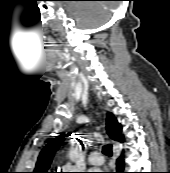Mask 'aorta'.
Segmentation results:
<instances>
[{
	"instance_id": "1",
	"label": "aorta",
	"mask_w": 170,
	"mask_h": 173,
	"mask_svg": "<svg viewBox=\"0 0 170 173\" xmlns=\"http://www.w3.org/2000/svg\"><path fill=\"white\" fill-rule=\"evenodd\" d=\"M79 157H80V154L77 151H71L70 152V159L72 161L78 160Z\"/></svg>"
}]
</instances>
